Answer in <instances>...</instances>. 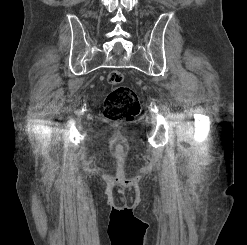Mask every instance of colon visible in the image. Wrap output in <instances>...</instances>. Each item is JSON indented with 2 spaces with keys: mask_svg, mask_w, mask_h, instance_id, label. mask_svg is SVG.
<instances>
[{
  "mask_svg": "<svg viewBox=\"0 0 247 245\" xmlns=\"http://www.w3.org/2000/svg\"><path fill=\"white\" fill-rule=\"evenodd\" d=\"M111 89L103 103V115L112 121H130L140 111V103L133 89L122 85L123 75L118 70H112L107 76Z\"/></svg>",
  "mask_w": 247,
  "mask_h": 245,
  "instance_id": "1",
  "label": "colon"
}]
</instances>
